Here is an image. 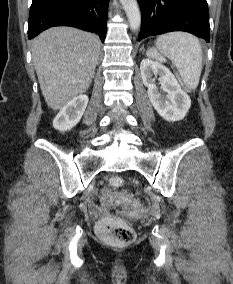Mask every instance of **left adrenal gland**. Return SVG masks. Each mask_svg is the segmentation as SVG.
Wrapping results in <instances>:
<instances>
[{
  "label": "left adrenal gland",
  "instance_id": "1",
  "mask_svg": "<svg viewBox=\"0 0 233 284\" xmlns=\"http://www.w3.org/2000/svg\"><path fill=\"white\" fill-rule=\"evenodd\" d=\"M140 51H144V46L141 47Z\"/></svg>",
  "mask_w": 233,
  "mask_h": 284
}]
</instances>
